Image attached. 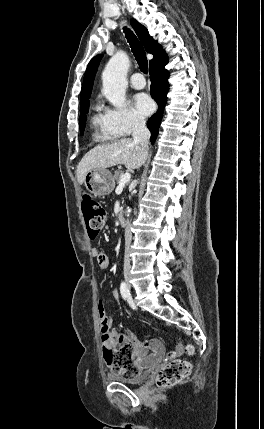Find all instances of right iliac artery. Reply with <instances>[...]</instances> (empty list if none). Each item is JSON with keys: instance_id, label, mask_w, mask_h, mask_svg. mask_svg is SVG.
I'll return each instance as SVG.
<instances>
[{"instance_id": "82829eb1", "label": "right iliac artery", "mask_w": 264, "mask_h": 429, "mask_svg": "<svg viewBox=\"0 0 264 429\" xmlns=\"http://www.w3.org/2000/svg\"><path fill=\"white\" fill-rule=\"evenodd\" d=\"M120 293L124 300H127L130 297L129 290L125 282H122L120 285Z\"/></svg>"}]
</instances>
